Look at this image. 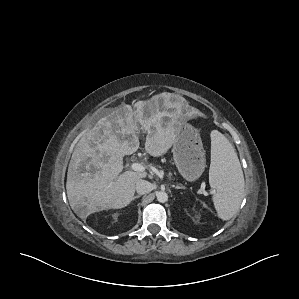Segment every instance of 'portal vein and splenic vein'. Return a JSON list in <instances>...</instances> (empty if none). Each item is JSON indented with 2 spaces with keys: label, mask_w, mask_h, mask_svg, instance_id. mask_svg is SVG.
<instances>
[{
  "label": "portal vein and splenic vein",
  "mask_w": 299,
  "mask_h": 299,
  "mask_svg": "<svg viewBox=\"0 0 299 299\" xmlns=\"http://www.w3.org/2000/svg\"><path fill=\"white\" fill-rule=\"evenodd\" d=\"M131 169L137 172H144L145 171V166L141 163H132L131 164Z\"/></svg>",
  "instance_id": "obj_1"
}]
</instances>
